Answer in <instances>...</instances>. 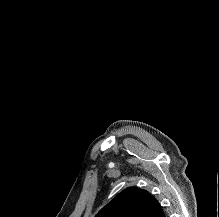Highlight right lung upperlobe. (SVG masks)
<instances>
[{
  "instance_id": "obj_1",
  "label": "right lung upper lobe",
  "mask_w": 219,
  "mask_h": 217,
  "mask_svg": "<svg viewBox=\"0 0 219 217\" xmlns=\"http://www.w3.org/2000/svg\"><path fill=\"white\" fill-rule=\"evenodd\" d=\"M95 217H166L160 203L146 190L128 187Z\"/></svg>"
}]
</instances>
